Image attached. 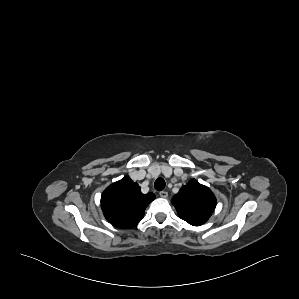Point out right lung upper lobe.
I'll return each mask as SVG.
<instances>
[{
    "label": "right lung upper lobe",
    "mask_w": 299,
    "mask_h": 299,
    "mask_svg": "<svg viewBox=\"0 0 299 299\" xmlns=\"http://www.w3.org/2000/svg\"><path fill=\"white\" fill-rule=\"evenodd\" d=\"M155 198L151 192L143 194L140 186L125 176L102 193L101 208L112 225L130 229L142 220L146 207Z\"/></svg>",
    "instance_id": "1"
}]
</instances>
